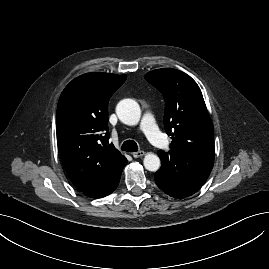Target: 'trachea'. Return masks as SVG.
Returning a JSON list of instances; mask_svg holds the SVG:
<instances>
[{
  "mask_svg": "<svg viewBox=\"0 0 269 269\" xmlns=\"http://www.w3.org/2000/svg\"><path fill=\"white\" fill-rule=\"evenodd\" d=\"M121 148H122L123 151H127V152H136V151H138V145L133 140L125 141L122 144Z\"/></svg>",
  "mask_w": 269,
  "mask_h": 269,
  "instance_id": "3493384b",
  "label": "trachea"
}]
</instances>
